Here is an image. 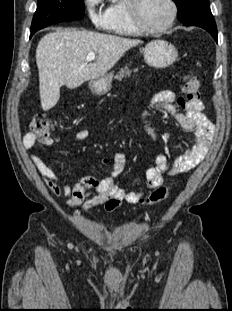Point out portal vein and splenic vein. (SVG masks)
<instances>
[{
    "mask_svg": "<svg viewBox=\"0 0 232 311\" xmlns=\"http://www.w3.org/2000/svg\"><path fill=\"white\" fill-rule=\"evenodd\" d=\"M96 59V54L94 52H90L86 56V61H92Z\"/></svg>",
    "mask_w": 232,
    "mask_h": 311,
    "instance_id": "1",
    "label": "portal vein and splenic vein"
}]
</instances>
